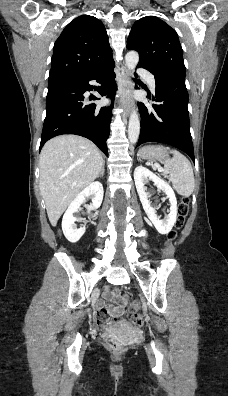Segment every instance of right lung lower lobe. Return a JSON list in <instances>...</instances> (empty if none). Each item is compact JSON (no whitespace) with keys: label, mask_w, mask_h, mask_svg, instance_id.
I'll use <instances>...</instances> for the list:
<instances>
[{"label":"right lung lower lobe","mask_w":228,"mask_h":396,"mask_svg":"<svg viewBox=\"0 0 228 396\" xmlns=\"http://www.w3.org/2000/svg\"><path fill=\"white\" fill-rule=\"evenodd\" d=\"M114 66L112 61L87 75L49 81L40 149L46 141L57 135L76 134L90 139L107 154L106 140L109 137L113 105L100 108L95 104H86L84 93L96 88L89 84V81L95 80L101 84L96 89L99 94L113 98L117 90ZM92 99L99 98L90 97Z\"/></svg>","instance_id":"1"}]
</instances>
